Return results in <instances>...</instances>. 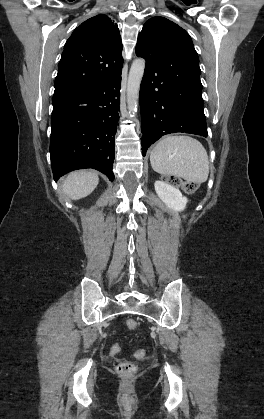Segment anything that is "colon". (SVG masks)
I'll use <instances>...</instances> for the list:
<instances>
[{
    "label": "colon",
    "instance_id": "1",
    "mask_svg": "<svg viewBox=\"0 0 264 419\" xmlns=\"http://www.w3.org/2000/svg\"><path fill=\"white\" fill-rule=\"evenodd\" d=\"M165 181L174 186L181 187L187 193H193L197 190L196 183L183 181L182 179L176 176H166ZM137 326H138V323L136 320L129 319L127 321V327L129 329L134 330L137 328ZM134 354L138 358H143L146 355V352L143 349H137ZM135 370H136V367L131 362H122L117 366L118 373L126 377L131 376L135 372Z\"/></svg>",
    "mask_w": 264,
    "mask_h": 419
}]
</instances>
